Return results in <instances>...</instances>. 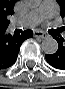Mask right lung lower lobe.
Here are the masks:
<instances>
[{"label": "right lung lower lobe", "mask_w": 65, "mask_h": 89, "mask_svg": "<svg viewBox=\"0 0 65 89\" xmlns=\"http://www.w3.org/2000/svg\"><path fill=\"white\" fill-rule=\"evenodd\" d=\"M6 29H0V70L8 68L15 63L21 44L27 38L32 37L31 30H26L20 35L11 36Z\"/></svg>", "instance_id": "98d812e1"}]
</instances>
